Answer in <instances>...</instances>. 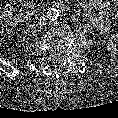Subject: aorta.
Instances as JSON below:
<instances>
[{"mask_svg": "<svg viewBox=\"0 0 118 118\" xmlns=\"http://www.w3.org/2000/svg\"><path fill=\"white\" fill-rule=\"evenodd\" d=\"M59 17V11L55 8H52L46 12V18L49 20H56Z\"/></svg>", "mask_w": 118, "mask_h": 118, "instance_id": "1", "label": "aorta"}]
</instances>
